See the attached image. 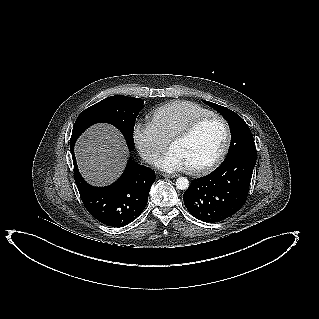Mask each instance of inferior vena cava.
<instances>
[{
  "label": "inferior vena cava",
  "mask_w": 319,
  "mask_h": 319,
  "mask_svg": "<svg viewBox=\"0 0 319 319\" xmlns=\"http://www.w3.org/2000/svg\"><path fill=\"white\" fill-rule=\"evenodd\" d=\"M145 160H146V162H148L150 164L155 161V159L152 155H146Z\"/></svg>",
  "instance_id": "602c4592"
}]
</instances>
